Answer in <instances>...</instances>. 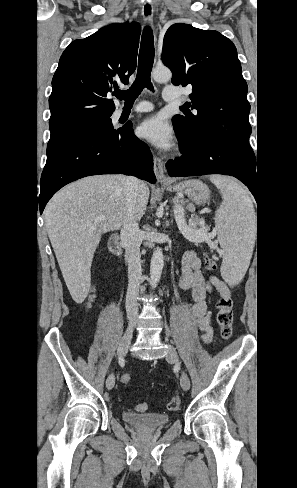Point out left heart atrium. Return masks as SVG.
<instances>
[{
  "mask_svg": "<svg viewBox=\"0 0 297 488\" xmlns=\"http://www.w3.org/2000/svg\"><path fill=\"white\" fill-rule=\"evenodd\" d=\"M139 134L161 149H169L174 142L172 128L161 115H155L143 121L139 127Z\"/></svg>",
  "mask_w": 297,
  "mask_h": 488,
  "instance_id": "1",
  "label": "left heart atrium"
}]
</instances>
